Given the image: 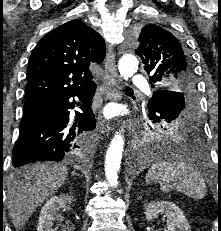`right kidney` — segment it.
I'll use <instances>...</instances> for the list:
<instances>
[{
  "label": "right kidney",
  "instance_id": "1",
  "mask_svg": "<svg viewBox=\"0 0 221 231\" xmlns=\"http://www.w3.org/2000/svg\"><path fill=\"white\" fill-rule=\"evenodd\" d=\"M72 201H74L73 197L69 195L53 196L50 198L41 209L37 231H55L52 226L53 221L59 217V209H61L65 203L71 204Z\"/></svg>",
  "mask_w": 221,
  "mask_h": 231
}]
</instances>
